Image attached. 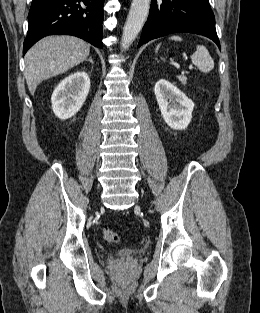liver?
Masks as SVG:
<instances>
[{
  "mask_svg": "<svg viewBox=\"0 0 260 313\" xmlns=\"http://www.w3.org/2000/svg\"><path fill=\"white\" fill-rule=\"evenodd\" d=\"M89 53V44L74 36H49L38 41L25 55V79L31 95L43 80L78 65Z\"/></svg>",
  "mask_w": 260,
  "mask_h": 313,
  "instance_id": "liver-1",
  "label": "liver"
}]
</instances>
